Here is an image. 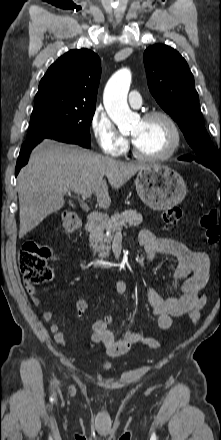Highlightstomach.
Returning a JSON list of instances; mask_svg holds the SVG:
<instances>
[{"label": "stomach", "instance_id": "stomach-1", "mask_svg": "<svg viewBox=\"0 0 221 440\" xmlns=\"http://www.w3.org/2000/svg\"><path fill=\"white\" fill-rule=\"evenodd\" d=\"M137 194L151 209L167 210L182 202L187 188L182 176L161 164H148L135 179Z\"/></svg>", "mask_w": 221, "mask_h": 440}]
</instances>
